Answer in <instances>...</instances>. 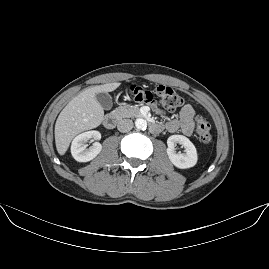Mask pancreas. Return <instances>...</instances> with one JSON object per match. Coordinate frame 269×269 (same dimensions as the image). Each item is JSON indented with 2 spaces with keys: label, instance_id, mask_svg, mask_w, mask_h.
<instances>
[{
  "label": "pancreas",
  "instance_id": "pancreas-1",
  "mask_svg": "<svg viewBox=\"0 0 269 269\" xmlns=\"http://www.w3.org/2000/svg\"><path fill=\"white\" fill-rule=\"evenodd\" d=\"M112 114L117 119H122L125 117L129 118L132 116L138 117L140 116V110L137 106L125 105L115 108L112 111Z\"/></svg>",
  "mask_w": 269,
  "mask_h": 269
}]
</instances>
